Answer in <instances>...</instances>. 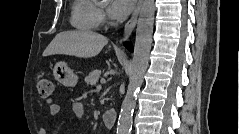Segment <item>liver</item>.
Returning a JSON list of instances; mask_svg holds the SVG:
<instances>
[{
  "instance_id": "liver-1",
  "label": "liver",
  "mask_w": 239,
  "mask_h": 134,
  "mask_svg": "<svg viewBox=\"0 0 239 134\" xmlns=\"http://www.w3.org/2000/svg\"><path fill=\"white\" fill-rule=\"evenodd\" d=\"M108 39L92 31H67L55 36L43 52V56L64 54L79 58L97 56Z\"/></svg>"
}]
</instances>
